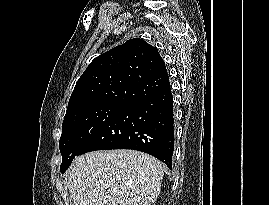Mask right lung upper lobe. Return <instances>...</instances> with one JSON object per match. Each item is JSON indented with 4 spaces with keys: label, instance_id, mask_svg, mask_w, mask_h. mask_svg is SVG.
Returning a JSON list of instances; mask_svg holds the SVG:
<instances>
[{
    "label": "right lung upper lobe",
    "instance_id": "obj_1",
    "mask_svg": "<svg viewBox=\"0 0 269 205\" xmlns=\"http://www.w3.org/2000/svg\"><path fill=\"white\" fill-rule=\"evenodd\" d=\"M170 88L158 50L140 38L96 57L78 79L66 115L98 103L131 105Z\"/></svg>",
    "mask_w": 269,
    "mask_h": 205
}]
</instances>
